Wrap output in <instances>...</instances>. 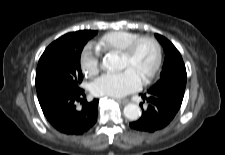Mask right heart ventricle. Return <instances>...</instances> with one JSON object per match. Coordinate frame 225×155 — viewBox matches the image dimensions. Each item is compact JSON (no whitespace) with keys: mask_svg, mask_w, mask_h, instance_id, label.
Returning a JSON list of instances; mask_svg holds the SVG:
<instances>
[{"mask_svg":"<svg viewBox=\"0 0 225 155\" xmlns=\"http://www.w3.org/2000/svg\"><path fill=\"white\" fill-rule=\"evenodd\" d=\"M139 34L131 31L116 30L104 34L95 43V47L99 52H121L132 40L137 38Z\"/></svg>","mask_w":225,"mask_h":155,"instance_id":"1","label":"right heart ventricle"}]
</instances>
